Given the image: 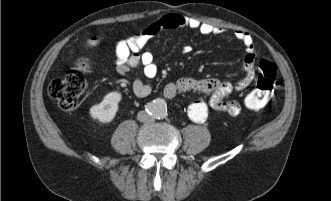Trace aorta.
<instances>
[{
	"label": "aorta",
	"mask_w": 331,
	"mask_h": 201,
	"mask_svg": "<svg viewBox=\"0 0 331 201\" xmlns=\"http://www.w3.org/2000/svg\"><path fill=\"white\" fill-rule=\"evenodd\" d=\"M150 112L156 118H162L167 113V105L164 100L156 99L150 104Z\"/></svg>",
	"instance_id": "obj_1"
}]
</instances>
